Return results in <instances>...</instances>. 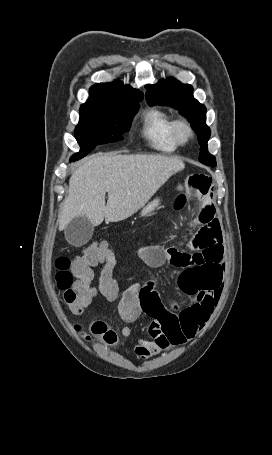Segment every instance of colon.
I'll use <instances>...</instances> for the list:
<instances>
[{
  "label": "colon",
  "instance_id": "colon-1",
  "mask_svg": "<svg viewBox=\"0 0 272 455\" xmlns=\"http://www.w3.org/2000/svg\"><path fill=\"white\" fill-rule=\"evenodd\" d=\"M186 201L185 195L178 196L174 202V209L177 211L183 209ZM98 266H103V269L98 284L95 285L94 268ZM55 267L57 287L63 293V300L73 314L81 313L98 294L109 301L115 300L118 296L119 285L114 277L116 259L105 243H91L74 259L59 257ZM91 334L108 344L116 341L115 333L102 322L92 325Z\"/></svg>",
  "mask_w": 272,
  "mask_h": 455
}]
</instances>
